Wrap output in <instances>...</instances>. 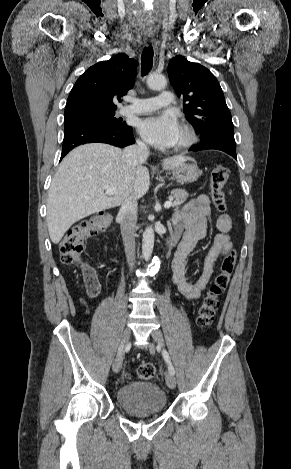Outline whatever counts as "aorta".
Returning a JSON list of instances; mask_svg holds the SVG:
<instances>
[{
	"mask_svg": "<svg viewBox=\"0 0 291 469\" xmlns=\"http://www.w3.org/2000/svg\"><path fill=\"white\" fill-rule=\"evenodd\" d=\"M147 85L153 90H162L167 85V80L163 75L151 74L147 78ZM154 247V231L152 227H147L143 233L142 256L147 261L150 259Z\"/></svg>",
	"mask_w": 291,
	"mask_h": 469,
	"instance_id": "obj_1",
	"label": "aorta"
}]
</instances>
